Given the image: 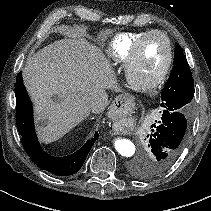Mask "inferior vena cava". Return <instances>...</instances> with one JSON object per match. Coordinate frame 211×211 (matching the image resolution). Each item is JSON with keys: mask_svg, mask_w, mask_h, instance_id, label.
<instances>
[{"mask_svg": "<svg viewBox=\"0 0 211 211\" xmlns=\"http://www.w3.org/2000/svg\"><path fill=\"white\" fill-rule=\"evenodd\" d=\"M103 95V92L101 90H98L96 92V95L92 98V102L90 104L91 108H94L97 104V102L101 99V96Z\"/></svg>", "mask_w": 211, "mask_h": 211, "instance_id": "inferior-vena-cava-1", "label": "inferior vena cava"}]
</instances>
